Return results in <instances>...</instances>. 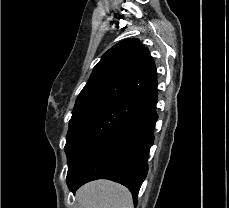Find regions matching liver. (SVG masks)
I'll use <instances>...</instances> for the list:
<instances>
[{
  "mask_svg": "<svg viewBox=\"0 0 229 208\" xmlns=\"http://www.w3.org/2000/svg\"><path fill=\"white\" fill-rule=\"evenodd\" d=\"M77 200L83 208H132V196L124 186L110 180H96L79 188Z\"/></svg>",
  "mask_w": 229,
  "mask_h": 208,
  "instance_id": "obj_1",
  "label": "liver"
}]
</instances>
